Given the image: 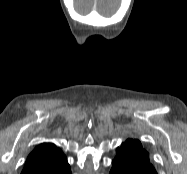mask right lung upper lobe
Here are the masks:
<instances>
[{"instance_id": "obj_1", "label": "right lung upper lobe", "mask_w": 187, "mask_h": 174, "mask_svg": "<svg viewBox=\"0 0 187 174\" xmlns=\"http://www.w3.org/2000/svg\"><path fill=\"white\" fill-rule=\"evenodd\" d=\"M69 168L62 151L53 144L44 143L30 153L21 174H62Z\"/></svg>"}]
</instances>
